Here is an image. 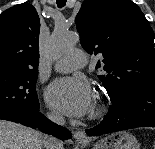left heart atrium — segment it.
Returning <instances> with one entry per match:
<instances>
[{"mask_svg":"<svg viewBox=\"0 0 155 149\" xmlns=\"http://www.w3.org/2000/svg\"><path fill=\"white\" fill-rule=\"evenodd\" d=\"M47 104L68 116H83L94 105V93L83 77L55 80L46 92Z\"/></svg>","mask_w":155,"mask_h":149,"instance_id":"39dd6f15","label":"left heart atrium"}]
</instances>
